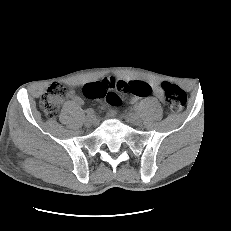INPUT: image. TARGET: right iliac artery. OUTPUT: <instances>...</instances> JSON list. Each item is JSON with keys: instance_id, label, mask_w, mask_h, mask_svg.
<instances>
[{"instance_id": "82829eb1", "label": "right iliac artery", "mask_w": 231, "mask_h": 231, "mask_svg": "<svg viewBox=\"0 0 231 231\" xmlns=\"http://www.w3.org/2000/svg\"><path fill=\"white\" fill-rule=\"evenodd\" d=\"M86 113H87V115H93V114H94V111H93V109L88 108V109L86 110Z\"/></svg>"}]
</instances>
